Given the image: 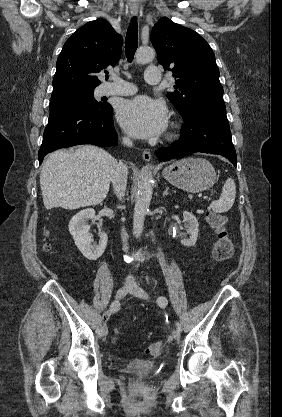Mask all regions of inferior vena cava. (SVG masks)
Masks as SVG:
<instances>
[{"label":"inferior vena cava","mask_w":282,"mask_h":417,"mask_svg":"<svg viewBox=\"0 0 282 417\" xmlns=\"http://www.w3.org/2000/svg\"><path fill=\"white\" fill-rule=\"evenodd\" d=\"M123 144H127V146H132L133 142L128 138V136H124L122 140ZM127 174H128V168L125 166L124 162H118L114 176L112 178L113 182V188L114 192H116L118 198H123L126 190V184H127ZM121 239L123 241V251L127 253L129 247H128V235L125 231V229H122L121 233ZM127 281H133L132 275H128Z\"/></svg>","instance_id":"inferior-vena-cava-1"}]
</instances>
